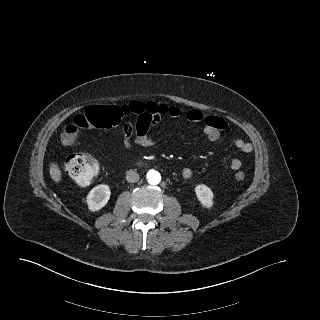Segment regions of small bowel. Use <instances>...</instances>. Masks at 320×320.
I'll list each match as a JSON object with an SVG mask.
<instances>
[{
    "label": "small bowel",
    "mask_w": 320,
    "mask_h": 320,
    "mask_svg": "<svg viewBox=\"0 0 320 320\" xmlns=\"http://www.w3.org/2000/svg\"><path fill=\"white\" fill-rule=\"evenodd\" d=\"M154 106L155 109H149L145 107V109L139 115L147 121L145 125L137 127V124L133 126L131 123H126L123 126V144L127 149L132 148L133 145H138L142 147L153 146L155 141L150 131L151 128L157 124V122L163 114L172 118H179L182 115H184L185 119L189 122L204 123V133L206 135V138L211 142L217 141L220 138L221 131L226 127V123L223 119L215 116H206L198 110H188L183 114V112L176 106ZM234 145L236 149L245 154L250 153L253 149L252 145L249 142H246L242 139L235 140ZM241 166L242 162L238 158H234L230 162V167L232 170H238L241 168ZM192 175V169H183L182 176L185 179L191 178Z\"/></svg>",
    "instance_id": "obj_1"
}]
</instances>
